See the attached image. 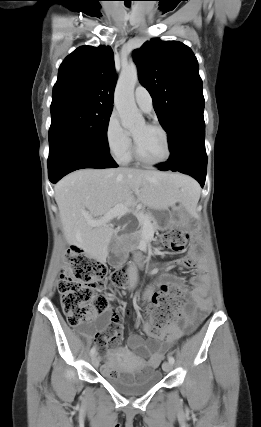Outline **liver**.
Segmentation results:
<instances>
[{
	"instance_id": "liver-1",
	"label": "liver",
	"mask_w": 261,
	"mask_h": 427,
	"mask_svg": "<svg viewBox=\"0 0 261 427\" xmlns=\"http://www.w3.org/2000/svg\"><path fill=\"white\" fill-rule=\"evenodd\" d=\"M196 184L190 177L168 172L116 169H81L55 186L63 232L70 245H76L92 258L105 262L114 230L109 225L92 227L89 219L102 217L120 204L138 203L154 210L190 207L188 188Z\"/></svg>"
}]
</instances>
